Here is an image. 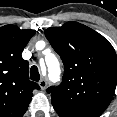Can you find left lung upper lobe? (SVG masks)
Masks as SVG:
<instances>
[{"instance_id":"left-lung-upper-lobe-1","label":"left lung upper lobe","mask_w":117,"mask_h":117,"mask_svg":"<svg viewBox=\"0 0 117 117\" xmlns=\"http://www.w3.org/2000/svg\"><path fill=\"white\" fill-rule=\"evenodd\" d=\"M64 64L62 83L49 87L60 117H98L110 104L117 83L114 48L91 28L67 22L45 30Z\"/></svg>"}]
</instances>
